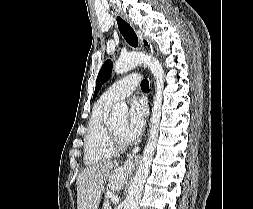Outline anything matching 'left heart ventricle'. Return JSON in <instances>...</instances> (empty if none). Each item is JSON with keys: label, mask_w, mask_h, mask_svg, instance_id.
Instances as JSON below:
<instances>
[{"label": "left heart ventricle", "mask_w": 253, "mask_h": 209, "mask_svg": "<svg viewBox=\"0 0 253 209\" xmlns=\"http://www.w3.org/2000/svg\"><path fill=\"white\" fill-rule=\"evenodd\" d=\"M125 126H126V122L123 121L120 123H116L112 125L111 127L114 130V132L123 139V131H124Z\"/></svg>", "instance_id": "left-heart-ventricle-1"}]
</instances>
